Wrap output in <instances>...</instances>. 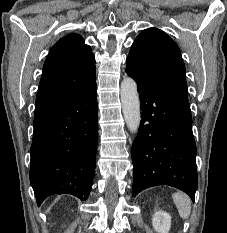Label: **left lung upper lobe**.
I'll return each instance as SVG.
<instances>
[{
	"mask_svg": "<svg viewBox=\"0 0 227 233\" xmlns=\"http://www.w3.org/2000/svg\"><path fill=\"white\" fill-rule=\"evenodd\" d=\"M126 72L136 81L188 101L185 65L177 44L163 31L149 28L135 39Z\"/></svg>",
	"mask_w": 227,
	"mask_h": 233,
	"instance_id": "left-lung-upper-lobe-1",
	"label": "left lung upper lobe"
}]
</instances>
